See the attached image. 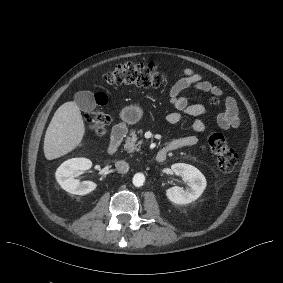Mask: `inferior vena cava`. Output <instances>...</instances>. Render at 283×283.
Here are the masks:
<instances>
[{"instance_id": "1", "label": "inferior vena cava", "mask_w": 283, "mask_h": 283, "mask_svg": "<svg viewBox=\"0 0 283 283\" xmlns=\"http://www.w3.org/2000/svg\"><path fill=\"white\" fill-rule=\"evenodd\" d=\"M116 169L118 170V172L120 173H126L129 170V165L126 161H117L115 164Z\"/></svg>"}]
</instances>
